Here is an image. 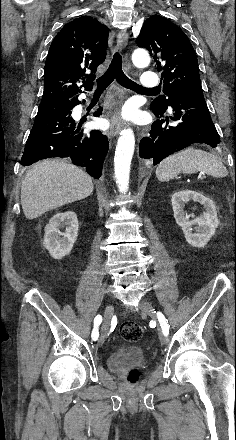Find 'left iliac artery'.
Masks as SVG:
<instances>
[{"mask_svg":"<svg viewBox=\"0 0 236 440\" xmlns=\"http://www.w3.org/2000/svg\"><path fill=\"white\" fill-rule=\"evenodd\" d=\"M157 317L160 322V326L162 328V332L165 336H168L169 334V325L168 321L166 320L165 316L161 312H157Z\"/></svg>","mask_w":236,"mask_h":440,"instance_id":"1","label":"left iliac artery"}]
</instances>
